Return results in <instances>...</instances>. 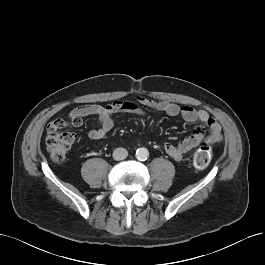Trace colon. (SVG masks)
<instances>
[{"instance_id":"obj_1","label":"colon","mask_w":265,"mask_h":265,"mask_svg":"<svg viewBox=\"0 0 265 265\" xmlns=\"http://www.w3.org/2000/svg\"><path fill=\"white\" fill-rule=\"evenodd\" d=\"M70 124H72L71 121L57 119L50 123L47 128V150L54 161L64 160L74 143V134L64 130ZM211 159V147L203 144L196 150L193 156V166L196 169H204L210 164Z\"/></svg>"}]
</instances>
